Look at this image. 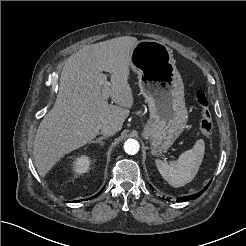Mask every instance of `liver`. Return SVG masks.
I'll return each mask as SVG.
<instances>
[{
    "label": "liver",
    "instance_id": "1",
    "mask_svg": "<svg viewBox=\"0 0 246 246\" xmlns=\"http://www.w3.org/2000/svg\"><path fill=\"white\" fill-rule=\"evenodd\" d=\"M139 41L123 36L86 45L65 63L59 92L52 109L37 129L33 157L37 171L45 177L65 154L91 142L103 125L122 129L133 94L128 83L131 53ZM102 71L110 74V98H103Z\"/></svg>",
    "mask_w": 246,
    "mask_h": 246
}]
</instances>
